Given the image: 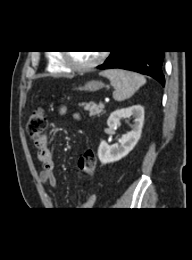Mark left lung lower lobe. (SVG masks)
Masks as SVG:
<instances>
[{
  "label": "left lung lower lobe",
  "instance_id": "0a47b994",
  "mask_svg": "<svg viewBox=\"0 0 192 260\" xmlns=\"http://www.w3.org/2000/svg\"><path fill=\"white\" fill-rule=\"evenodd\" d=\"M164 59V51L146 50L133 51L122 50L114 51L106 61L99 65V69L121 68L132 70L151 76L163 86L165 85V77L162 72V64Z\"/></svg>",
  "mask_w": 192,
  "mask_h": 260
}]
</instances>
